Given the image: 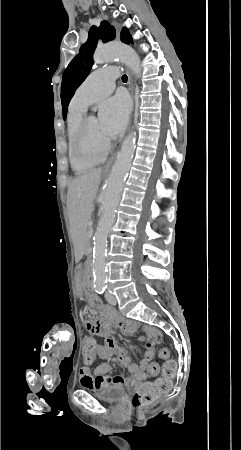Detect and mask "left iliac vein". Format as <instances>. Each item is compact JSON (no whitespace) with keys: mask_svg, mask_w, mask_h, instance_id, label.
I'll list each match as a JSON object with an SVG mask.
<instances>
[{"mask_svg":"<svg viewBox=\"0 0 241 450\" xmlns=\"http://www.w3.org/2000/svg\"><path fill=\"white\" fill-rule=\"evenodd\" d=\"M105 298H106L108 303H110L112 305H116L117 304L116 298L113 297L110 292H106Z\"/></svg>","mask_w":241,"mask_h":450,"instance_id":"left-iliac-vein-1","label":"left iliac vein"}]
</instances>
